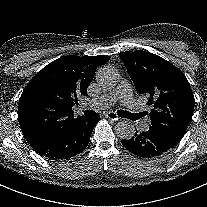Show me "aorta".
<instances>
[{"instance_id": "762f6f07", "label": "aorta", "mask_w": 207, "mask_h": 207, "mask_svg": "<svg viewBox=\"0 0 207 207\" xmlns=\"http://www.w3.org/2000/svg\"><path fill=\"white\" fill-rule=\"evenodd\" d=\"M118 70L112 66H103L96 73L97 83L104 89H111L119 82ZM115 132L119 138L123 140L131 139L135 134V126L128 120H123L117 123Z\"/></svg>"}]
</instances>
